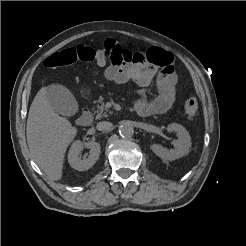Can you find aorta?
<instances>
[{"instance_id":"aorta-1","label":"aorta","mask_w":246,"mask_h":246,"mask_svg":"<svg viewBox=\"0 0 246 246\" xmlns=\"http://www.w3.org/2000/svg\"><path fill=\"white\" fill-rule=\"evenodd\" d=\"M134 133L133 126L129 123H123L119 126V134L123 138H130Z\"/></svg>"}]
</instances>
